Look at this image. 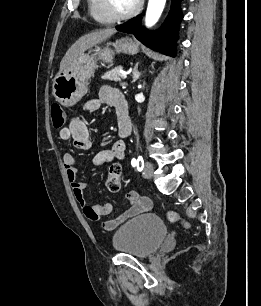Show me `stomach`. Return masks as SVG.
Masks as SVG:
<instances>
[{
	"label": "stomach",
	"mask_w": 261,
	"mask_h": 306,
	"mask_svg": "<svg viewBox=\"0 0 261 306\" xmlns=\"http://www.w3.org/2000/svg\"><path fill=\"white\" fill-rule=\"evenodd\" d=\"M114 50L97 47L94 55L82 53L64 71L59 72L53 80V95L61 105L70 107L75 105L87 93L88 81L97 68V61L103 60L113 64L116 53L135 55L138 45L129 38H121L113 43Z\"/></svg>",
	"instance_id": "0dacf381"
}]
</instances>
